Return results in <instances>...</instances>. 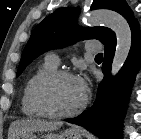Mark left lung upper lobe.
I'll return each instance as SVG.
<instances>
[{"instance_id": "5c2ea615", "label": "left lung upper lobe", "mask_w": 141, "mask_h": 139, "mask_svg": "<svg viewBox=\"0 0 141 139\" xmlns=\"http://www.w3.org/2000/svg\"><path fill=\"white\" fill-rule=\"evenodd\" d=\"M106 8L120 13L131 25L137 21L125 0H93L91 9ZM79 9L59 8L39 23L24 48L17 77L36 57L49 49L70 45L79 39H97L105 44L115 33L106 27H77Z\"/></svg>"}]
</instances>
